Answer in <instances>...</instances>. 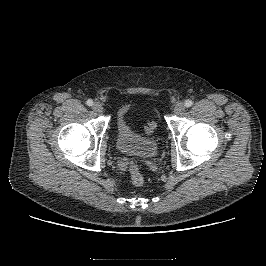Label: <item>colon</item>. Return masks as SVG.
I'll return each instance as SVG.
<instances>
[{"label":"colon","mask_w":266,"mask_h":266,"mask_svg":"<svg viewBox=\"0 0 266 266\" xmlns=\"http://www.w3.org/2000/svg\"><path fill=\"white\" fill-rule=\"evenodd\" d=\"M155 127V123L151 122L149 123L147 127V131H151ZM129 172L131 181L136 186H142L145 182V179L139 169L138 160L137 159H131L129 164Z\"/></svg>","instance_id":"colon-1"}]
</instances>
